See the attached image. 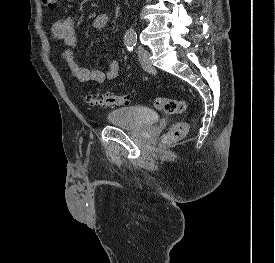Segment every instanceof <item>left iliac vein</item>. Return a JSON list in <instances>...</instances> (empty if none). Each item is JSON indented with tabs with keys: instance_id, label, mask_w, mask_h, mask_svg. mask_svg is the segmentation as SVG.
Here are the masks:
<instances>
[{
	"instance_id": "4c4485c4",
	"label": "left iliac vein",
	"mask_w": 275,
	"mask_h": 263,
	"mask_svg": "<svg viewBox=\"0 0 275 263\" xmlns=\"http://www.w3.org/2000/svg\"><path fill=\"white\" fill-rule=\"evenodd\" d=\"M138 57H139V62L144 70L149 72L153 71L154 68L150 60V52L147 49L143 47H139Z\"/></svg>"
}]
</instances>
